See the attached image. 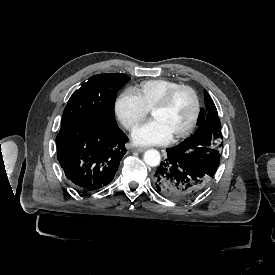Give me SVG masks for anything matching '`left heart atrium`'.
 Wrapping results in <instances>:
<instances>
[{
    "mask_svg": "<svg viewBox=\"0 0 275 275\" xmlns=\"http://www.w3.org/2000/svg\"><path fill=\"white\" fill-rule=\"evenodd\" d=\"M169 133L156 120L141 125L132 133V141L137 145H155L167 142Z\"/></svg>",
    "mask_w": 275,
    "mask_h": 275,
    "instance_id": "1",
    "label": "left heart atrium"
}]
</instances>
